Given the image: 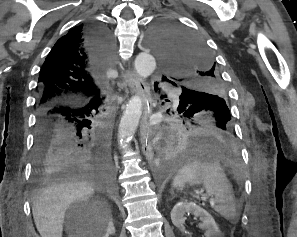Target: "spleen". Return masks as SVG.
Instances as JSON below:
<instances>
[{
	"label": "spleen",
	"instance_id": "1",
	"mask_svg": "<svg viewBox=\"0 0 297 237\" xmlns=\"http://www.w3.org/2000/svg\"><path fill=\"white\" fill-rule=\"evenodd\" d=\"M185 183L203 184L209 197L211 207L225 219L232 221L236 217L234 195L226 175L217 160L194 159L185 164L173 180V187H181Z\"/></svg>",
	"mask_w": 297,
	"mask_h": 237
}]
</instances>
